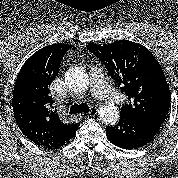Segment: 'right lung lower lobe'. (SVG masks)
<instances>
[{"label":"right lung lower lobe","mask_w":178,"mask_h":178,"mask_svg":"<svg viewBox=\"0 0 178 178\" xmlns=\"http://www.w3.org/2000/svg\"><path fill=\"white\" fill-rule=\"evenodd\" d=\"M71 138H72V137H71ZM71 138H70V139H71ZM70 139H69V140H70ZM69 140L65 141L62 145H64V144H65L66 142H68ZM62 145H61V146H62ZM61 146H59V147H61ZM59 147H58V148H59Z\"/></svg>","instance_id":"1"}]
</instances>
